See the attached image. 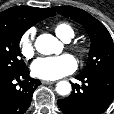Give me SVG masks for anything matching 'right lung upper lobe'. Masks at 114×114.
<instances>
[{"mask_svg":"<svg viewBox=\"0 0 114 114\" xmlns=\"http://www.w3.org/2000/svg\"><path fill=\"white\" fill-rule=\"evenodd\" d=\"M54 15L55 12L51 8L15 6L0 13V24L23 25L30 28L41 20Z\"/></svg>","mask_w":114,"mask_h":114,"instance_id":"right-lung-upper-lobe-1","label":"right lung upper lobe"}]
</instances>
